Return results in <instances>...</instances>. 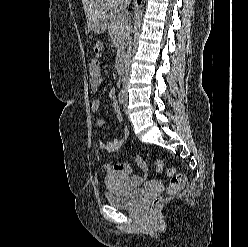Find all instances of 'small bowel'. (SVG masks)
<instances>
[{
	"mask_svg": "<svg viewBox=\"0 0 248 247\" xmlns=\"http://www.w3.org/2000/svg\"><path fill=\"white\" fill-rule=\"evenodd\" d=\"M102 54H101V50L100 51H94L89 64H88V71H89V77H90V87L92 89L93 92H97L102 84L103 81V77L101 74V70H100V65H99V61L101 58ZM101 106V101L99 99H94L91 102L90 105V109L92 112H97L99 110ZM117 118L119 120L122 119L121 115L118 113L117 114ZM94 125L97 128H102L104 125V119L101 117H96L94 119ZM129 131L127 128H125L123 130V137L122 138H115L112 141L109 142H102L100 144L101 148L103 150H105L108 153H113L118 151L121 146L124 143L125 138L128 136ZM105 169L107 172L111 173V172H121L123 173L126 177H127V182L128 185L130 187H135L140 185L144 180L145 177L143 175H132L130 176L132 169L131 166L129 164H107L105 166Z\"/></svg>",
	"mask_w": 248,
	"mask_h": 247,
	"instance_id": "small-bowel-1",
	"label": "small bowel"
}]
</instances>
